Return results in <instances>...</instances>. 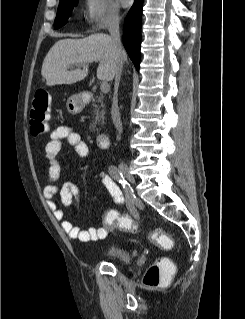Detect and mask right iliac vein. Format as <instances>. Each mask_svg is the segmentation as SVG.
<instances>
[{
  "instance_id": "63e3f726",
  "label": "right iliac vein",
  "mask_w": 245,
  "mask_h": 319,
  "mask_svg": "<svg viewBox=\"0 0 245 319\" xmlns=\"http://www.w3.org/2000/svg\"><path fill=\"white\" fill-rule=\"evenodd\" d=\"M119 168H120L121 172L123 173V175L125 176V178L127 179V181H129L130 183L133 184L135 182V179H134L133 175L129 172V169L126 166V164L121 163L119 165Z\"/></svg>"
}]
</instances>
